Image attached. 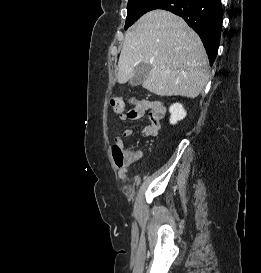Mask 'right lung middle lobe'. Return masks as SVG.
Returning a JSON list of instances; mask_svg holds the SVG:
<instances>
[{
  "label": "right lung middle lobe",
  "instance_id": "1",
  "mask_svg": "<svg viewBox=\"0 0 261 273\" xmlns=\"http://www.w3.org/2000/svg\"><path fill=\"white\" fill-rule=\"evenodd\" d=\"M162 1L164 0H129L125 29L131 26L143 14L147 13L148 11L158 9Z\"/></svg>",
  "mask_w": 261,
  "mask_h": 273
}]
</instances>
